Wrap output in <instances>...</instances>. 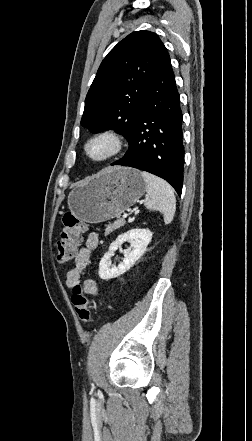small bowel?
Wrapping results in <instances>:
<instances>
[{
  "instance_id": "small-bowel-1",
  "label": "small bowel",
  "mask_w": 252,
  "mask_h": 441,
  "mask_svg": "<svg viewBox=\"0 0 252 441\" xmlns=\"http://www.w3.org/2000/svg\"><path fill=\"white\" fill-rule=\"evenodd\" d=\"M99 237L96 233H90L84 243V246L78 251L72 268L66 275L67 286L72 287L80 283L81 276L90 262L92 251L98 246ZM83 290L86 294L98 296V287L94 280L86 279L83 282Z\"/></svg>"
}]
</instances>
